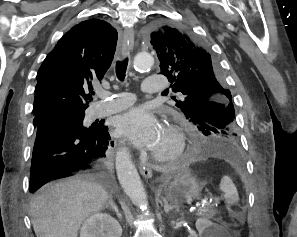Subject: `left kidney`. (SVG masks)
I'll return each mask as SVG.
<instances>
[{"label": "left kidney", "instance_id": "left-kidney-1", "mask_svg": "<svg viewBox=\"0 0 297 237\" xmlns=\"http://www.w3.org/2000/svg\"><path fill=\"white\" fill-rule=\"evenodd\" d=\"M197 234H191L189 237H216V224L206 218H198L196 221Z\"/></svg>", "mask_w": 297, "mask_h": 237}]
</instances>
